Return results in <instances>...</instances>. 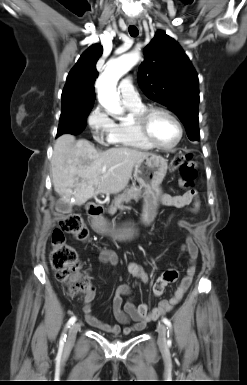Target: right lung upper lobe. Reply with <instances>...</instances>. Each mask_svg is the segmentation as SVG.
Returning <instances> with one entry per match:
<instances>
[{"instance_id":"cb5924a9","label":"right lung upper lobe","mask_w":247,"mask_h":385,"mask_svg":"<svg viewBox=\"0 0 247 385\" xmlns=\"http://www.w3.org/2000/svg\"><path fill=\"white\" fill-rule=\"evenodd\" d=\"M102 52V46L94 44L80 56L67 76L61 96L62 103L94 104L95 90L93 84L98 76L96 62Z\"/></svg>"}]
</instances>
